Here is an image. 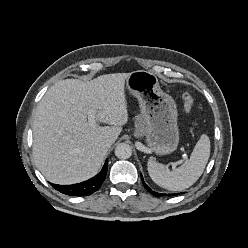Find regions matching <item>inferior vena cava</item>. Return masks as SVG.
I'll use <instances>...</instances> for the list:
<instances>
[{"instance_id": "1", "label": "inferior vena cava", "mask_w": 248, "mask_h": 248, "mask_svg": "<svg viewBox=\"0 0 248 248\" xmlns=\"http://www.w3.org/2000/svg\"><path fill=\"white\" fill-rule=\"evenodd\" d=\"M112 144H113V141L111 139H105L101 142V146L105 148H110Z\"/></svg>"}]
</instances>
